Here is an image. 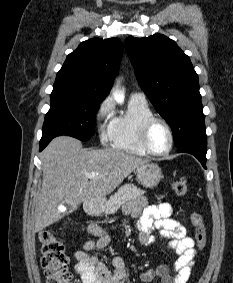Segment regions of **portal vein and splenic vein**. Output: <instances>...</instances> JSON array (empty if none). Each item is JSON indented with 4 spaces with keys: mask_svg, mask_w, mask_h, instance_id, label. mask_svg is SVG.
I'll return each instance as SVG.
<instances>
[{
    "mask_svg": "<svg viewBox=\"0 0 233 283\" xmlns=\"http://www.w3.org/2000/svg\"><path fill=\"white\" fill-rule=\"evenodd\" d=\"M86 175H87L88 178H93V177L97 176L98 173L97 172H90V173H87Z\"/></svg>",
    "mask_w": 233,
    "mask_h": 283,
    "instance_id": "18ae733b",
    "label": "portal vein and splenic vein"
}]
</instances>
